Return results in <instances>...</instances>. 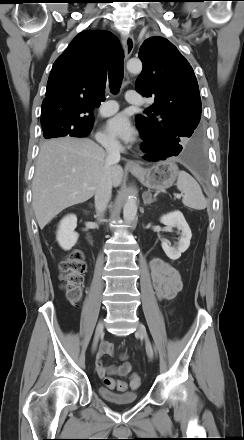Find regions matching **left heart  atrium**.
I'll use <instances>...</instances> for the list:
<instances>
[{
  "label": "left heart atrium",
  "mask_w": 244,
  "mask_h": 440,
  "mask_svg": "<svg viewBox=\"0 0 244 440\" xmlns=\"http://www.w3.org/2000/svg\"><path fill=\"white\" fill-rule=\"evenodd\" d=\"M106 128L113 137L124 142H132L136 137L135 128L125 113H119L109 119Z\"/></svg>",
  "instance_id": "1"
}]
</instances>
